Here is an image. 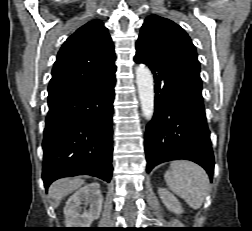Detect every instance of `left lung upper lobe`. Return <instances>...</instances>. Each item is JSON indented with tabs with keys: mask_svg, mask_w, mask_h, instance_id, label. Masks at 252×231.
I'll use <instances>...</instances> for the list:
<instances>
[{
	"mask_svg": "<svg viewBox=\"0 0 252 231\" xmlns=\"http://www.w3.org/2000/svg\"><path fill=\"white\" fill-rule=\"evenodd\" d=\"M136 50V53L146 56L183 59L200 67L188 34L173 21L157 15L145 19Z\"/></svg>",
	"mask_w": 252,
	"mask_h": 231,
	"instance_id": "left-lung-upper-lobe-1",
	"label": "left lung upper lobe"
}]
</instances>
